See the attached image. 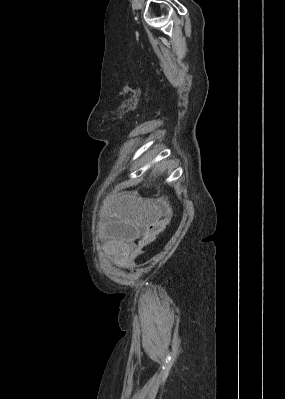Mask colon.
Returning <instances> with one entry per match:
<instances>
[{
  "label": "colon",
  "instance_id": "obj_1",
  "mask_svg": "<svg viewBox=\"0 0 285 399\" xmlns=\"http://www.w3.org/2000/svg\"><path fill=\"white\" fill-rule=\"evenodd\" d=\"M169 210H164L163 215L158 221L156 222L154 229L150 235V237L144 239L141 243H139V246H147L155 237L158 233H160L167 225L169 221Z\"/></svg>",
  "mask_w": 285,
  "mask_h": 399
}]
</instances>
